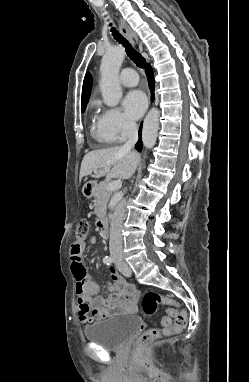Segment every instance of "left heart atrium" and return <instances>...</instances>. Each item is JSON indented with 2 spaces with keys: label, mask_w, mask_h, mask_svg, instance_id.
Returning a JSON list of instances; mask_svg holds the SVG:
<instances>
[{
  "label": "left heart atrium",
  "mask_w": 249,
  "mask_h": 382,
  "mask_svg": "<svg viewBox=\"0 0 249 382\" xmlns=\"http://www.w3.org/2000/svg\"><path fill=\"white\" fill-rule=\"evenodd\" d=\"M147 107V98L141 90H131L123 99V108L131 119H138Z\"/></svg>",
  "instance_id": "39dd6f15"
}]
</instances>
